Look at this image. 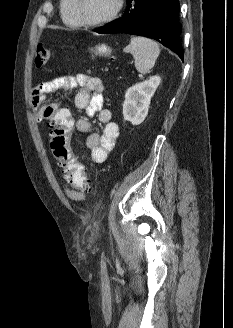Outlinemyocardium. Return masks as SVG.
Returning a JSON list of instances; mask_svg holds the SVG:
<instances>
[{
  "label": "myocardium",
  "mask_w": 233,
  "mask_h": 328,
  "mask_svg": "<svg viewBox=\"0 0 233 328\" xmlns=\"http://www.w3.org/2000/svg\"><path fill=\"white\" fill-rule=\"evenodd\" d=\"M124 5H125V0H116V6H115L114 10L112 11V13L110 15H108L107 17H105L101 20H98V21H88L83 18L82 14H81V0H75L74 12H75V16H76L78 22L80 23V25L87 26V27H98V26L105 25V24L115 20L122 12Z\"/></svg>",
  "instance_id": "1"
}]
</instances>
